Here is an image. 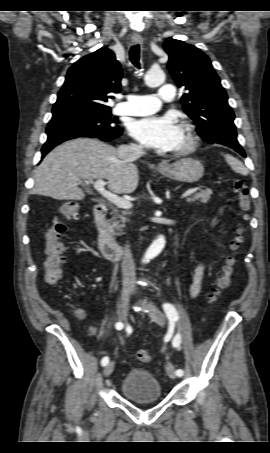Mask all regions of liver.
<instances>
[{
	"mask_svg": "<svg viewBox=\"0 0 270 453\" xmlns=\"http://www.w3.org/2000/svg\"><path fill=\"white\" fill-rule=\"evenodd\" d=\"M107 180L116 194L138 186V168L119 158L118 151L97 139L78 138L54 148L36 168L32 194L57 200H83L81 180Z\"/></svg>",
	"mask_w": 270,
	"mask_h": 453,
	"instance_id": "liver-1",
	"label": "liver"
}]
</instances>
